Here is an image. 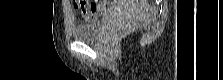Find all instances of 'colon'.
<instances>
[{"label": "colon", "instance_id": "1", "mask_svg": "<svg viewBox=\"0 0 223 80\" xmlns=\"http://www.w3.org/2000/svg\"><path fill=\"white\" fill-rule=\"evenodd\" d=\"M101 2L102 1H95V2L76 1L74 4H75V8L80 12L82 16L89 17L95 12L99 3Z\"/></svg>", "mask_w": 223, "mask_h": 80}]
</instances>
